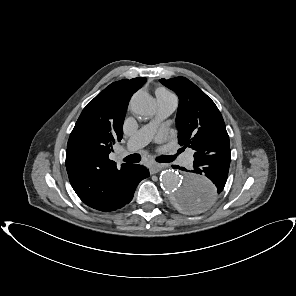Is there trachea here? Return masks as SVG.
I'll list each match as a JSON object with an SVG mask.
<instances>
[{
  "label": "trachea",
  "mask_w": 296,
  "mask_h": 296,
  "mask_svg": "<svg viewBox=\"0 0 296 296\" xmlns=\"http://www.w3.org/2000/svg\"><path fill=\"white\" fill-rule=\"evenodd\" d=\"M174 159H175L174 155H163L156 158V161L161 163H168V162H172ZM140 160H141V156L136 153L131 154L123 159V161L127 163H139Z\"/></svg>",
  "instance_id": "3493384b"
}]
</instances>
